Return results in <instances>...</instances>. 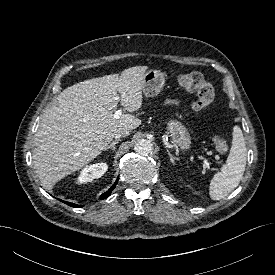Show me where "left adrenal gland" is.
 <instances>
[{"instance_id": "obj_1", "label": "left adrenal gland", "mask_w": 275, "mask_h": 275, "mask_svg": "<svg viewBox=\"0 0 275 275\" xmlns=\"http://www.w3.org/2000/svg\"><path fill=\"white\" fill-rule=\"evenodd\" d=\"M167 153H168V155H169L170 161H171L172 163H174L175 158L170 154V152H169L168 149H167Z\"/></svg>"}]
</instances>
